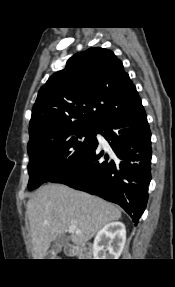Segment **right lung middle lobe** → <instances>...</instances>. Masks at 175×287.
<instances>
[{"instance_id":"dd1d6c3e","label":"right lung middle lobe","mask_w":175,"mask_h":287,"mask_svg":"<svg viewBox=\"0 0 175 287\" xmlns=\"http://www.w3.org/2000/svg\"><path fill=\"white\" fill-rule=\"evenodd\" d=\"M98 131V125L79 126L28 144V189L39 187L83 161L96 146Z\"/></svg>"}]
</instances>
